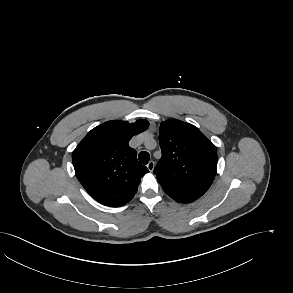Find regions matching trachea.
Segmentation results:
<instances>
[{"label": "trachea", "instance_id": "obj_1", "mask_svg": "<svg viewBox=\"0 0 293 293\" xmlns=\"http://www.w3.org/2000/svg\"><path fill=\"white\" fill-rule=\"evenodd\" d=\"M139 161L142 163V164H147L149 162V159H150V155L148 152L146 151H142L139 153Z\"/></svg>", "mask_w": 293, "mask_h": 293}]
</instances>
